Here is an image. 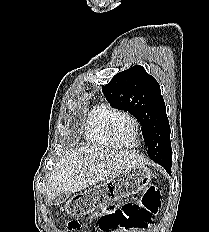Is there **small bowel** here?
<instances>
[{"label":"small bowel","instance_id":"c3829d8e","mask_svg":"<svg viewBox=\"0 0 209 232\" xmlns=\"http://www.w3.org/2000/svg\"><path fill=\"white\" fill-rule=\"evenodd\" d=\"M145 227H147V226H141V227H138V228H145ZM116 228V227H115ZM125 228V227H124ZM112 229H114V228H112ZM112 229H102V230H105V231H109V230H112Z\"/></svg>","mask_w":209,"mask_h":232}]
</instances>
